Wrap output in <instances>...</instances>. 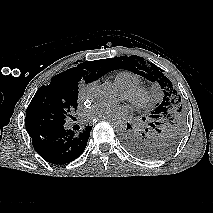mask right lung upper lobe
<instances>
[{
	"label": "right lung upper lobe",
	"mask_w": 213,
	"mask_h": 213,
	"mask_svg": "<svg viewBox=\"0 0 213 213\" xmlns=\"http://www.w3.org/2000/svg\"><path fill=\"white\" fill-rule=\"evenodd\" d=\"M104 61L105 60L83 62L78 64L77 67L68 69L54 77H59L71 71H83L94 81L110 71L109 68L105 66Z\"/></svg>",
	"instance_id": "obj_1"
}]
</instances>
